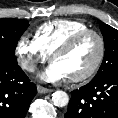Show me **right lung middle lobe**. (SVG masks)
<instances>
[{
    "label": "right lung middle lobe",
    "mask_w": 118,
    "mask_h": 118,
    "mask_svg": "<svg viewBox=\"0 0 118 118\" xmlns=\"http://www.w3.org/2000/svg\"><path fill=\"white\" fill-rule=\"evenodd\" d=\"M29 22L21 19H0V61L16 62L15 48Z\"/></svg>",
    "instance_id": "right-lung-middle-lobe-1"
}]
</instances>
